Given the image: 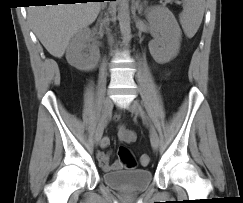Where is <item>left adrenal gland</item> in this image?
Wrapping results in <instances>:
<instances>
[{"label":"left adrenal gland","mask_w":243,"mask_h":203,"mask_svg":"<svg viewBox=\"0 0 243 203\" xmlns=\"http://www.w3.org/2000/svg\"><path fill=\"white\" fill-rule=\"evenodd\" d=\"M134 9L135 10H138V14L139 15H142V12H143V5L142 4H139V1H136L135 4H134Z\"/></svg>","instance_id":"obj_1"}]
</instances>
